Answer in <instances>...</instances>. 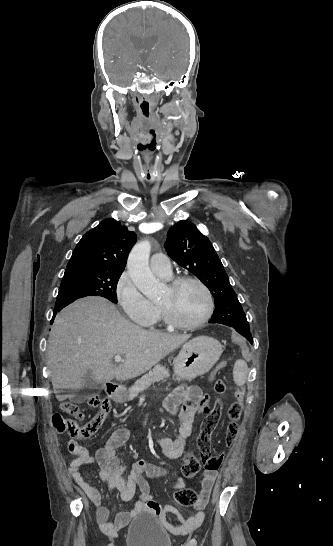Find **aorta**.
I'll list each match as a JSON object with an SVG mask.
<instances>
[{
	"label": "aorta",
	"mask_w": 333,
	"mask_h": 546,
	"mask_svg": "<svg viewBox=\"0 0 333 546\" xmlns=\"http://www.w3.org/2000/svg\"><path fill=\"white\" fill-rule=\"evenodd\" d=\"M150 251L149 241L137 243L129 254L127 269L135 286L145 296L152 298L156 293L157 280L149 267Z\"/></svg>",
	"instance_id": "obj_1"
}]
</instances>
